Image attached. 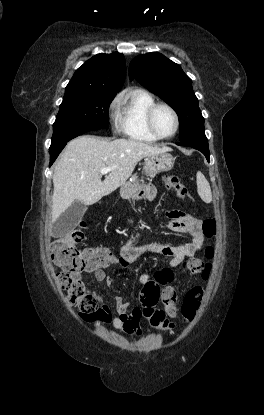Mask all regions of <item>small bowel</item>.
<instances>
[{
  "label": "small bowel",
  "instance_id": "obj_1",
  "mask_svg": "<svg viewBox=\"0 0 264 415\" xmlns=\"http://www.w3.org/2000/svg\"><path fill=\"white\" fill-rule=\"evenodd\" d=\"M148 196L154 198L155 195L150 192ZM166 216L169 219L168 228L171 231L186 235L189 238L187 243L163 245L158 242L135 244L128 241L120 248L116 264L122 268H127L146 252L158 253L167 257L169 259L168 264L172 268L185 259L193 258L202 249L204 243L202 222L190 216H182L176 210H167ZM104 269L105 267L89 268L88 271H92L98 281L106 280L107 286H111L112 280L106 279ZM151 280H153L152 276L147 273L142 274L139 278L142 285ZM141 312L140 307L129 310V305L117 296L115 297V315H112L109 309L102 305L95 317L100 321L111 322L114 330L126 334H140L142 331L140 325Z\"/></svg>",
  "mask_w": 264,
  "mask_h": 415
}]
</instances>
